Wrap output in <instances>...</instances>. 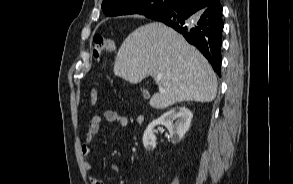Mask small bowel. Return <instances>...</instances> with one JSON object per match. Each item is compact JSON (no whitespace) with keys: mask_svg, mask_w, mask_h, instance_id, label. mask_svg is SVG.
<instances>
[{"mask_svg":"<svg viewBox=\"0 0 293 184\" xmlns=\"http://www.w3.org/2000/svg\"><path fill=\"white\" fill-rule=\"evenodd\" d=\"M103 121L109 122V123H116L117 125L121 127H125L128 124V119L119 114L118 112L114 110H105L102 115H95L92 116L88 122V129L84 135V141L81 146V152L84 159V166L86 169L91 168V160L89 158L90 155V146L97 135V133L100 130L101 123ZM111 170L115 173L120 172V167L118 165H112ZM90 184H105V182L101 179L90 177L89 178Z\"/></svg>","mask_w":293,"mask_h":184,"instance_id":"1","label":"small bowel"}]
</instances>
